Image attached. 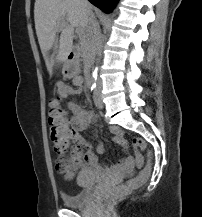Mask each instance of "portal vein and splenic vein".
<instances>
[{"instance_id":"1","label":"portal vein and splenic vein","mask_w":202,"mask_h":217,"mask_svg":"<svg viewBox=\"0 0 202 217\" xmlns=\"http://www.w3.org/2000/svg\"><path fill=\"white\" fill-rule=\"evenodd\" d=\"M82 32H83V31L77 29V33H78V34H81Z\"/></svg>"}]
</instances>
